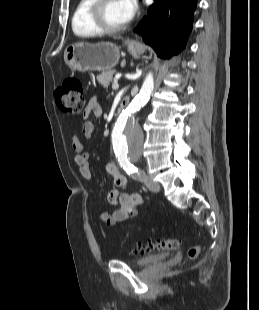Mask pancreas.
Segmentation results:
<instances>
[{
    "mask_svg": "<svg viewBox=\"0 0 259 310\" xmlns=\"http://www.w3.org/2000/svg\"><path fill=\"white\" fill-rule=\"evenodd\" d=\"M115 71H106L97 76V81L104 87L107 88L109 83L113 81V75Z\"/></svg>",
    "mask_w": 259,
    "mask_h": 310,
    "instance_id": "obj_1",
    "label": "pancreas"
}]
</instances>
